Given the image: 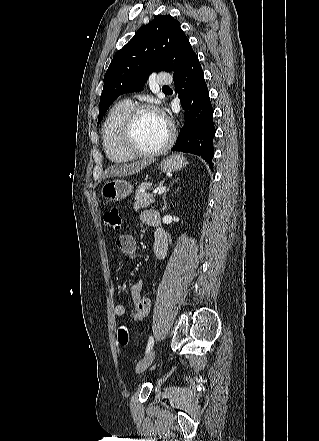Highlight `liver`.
Segmentation results:
<instances>
[{
    "mask_svg": "<svg viewBox=\"0 0 319 441\" xmlns=\"http://www.w3.org/2000/svg\"><path fill=\"white\" fill-rule=\"evenodd\" d=\"M152 162H154L153 159H143L141 161L111 166L105 170L104 178L134 175L143 170L146 166L150 165Z\"/></svg>",
    "mask_w": 319,
    "mask_h": 441,
    "instance_id": "liver-1",
    "label": "liver"
}]
</instances>
